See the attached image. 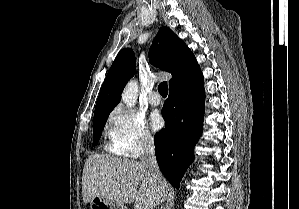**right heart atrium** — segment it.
<instances>
[{"label": "right heart atrium", "instance_id": "d8ad5b80", "mask_svg": "<svg viewBox=\"0 0 299 209\" xmlns=\"http://www.w3.org/2000/svg\"><path fill=\"white\" fill-rule=\"evenodd\" d=\"M108 136L120 155L137 158L154 147V140L144 120L137 114L116 107L108 118Z\"/></svg>", "mask_w": 299, "mask_h": 209}]
</instances>
